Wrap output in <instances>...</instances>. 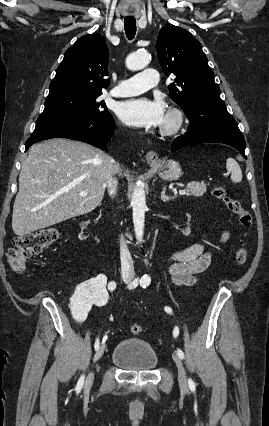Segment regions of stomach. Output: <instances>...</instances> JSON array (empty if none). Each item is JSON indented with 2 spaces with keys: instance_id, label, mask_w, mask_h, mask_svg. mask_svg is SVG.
<instances>
[{
  "instance_id": "0dacf381",
  "label": "stomach",
  "mask_w": 269,
  "mask_h": 426,
  "mask_svg": "<svg viewBox=\"0 0 269 426\" xmlns=\"http://www.w3.org/2000/svg\"><path fill=\"white\" fill-rule=\"evenodd\" d=\"M152 168L155 169L158 175L166 181L177 180L182 175L180 164L173 159H168L160 164H154L152 165Z\"/></svg>"
}]
</instances>
